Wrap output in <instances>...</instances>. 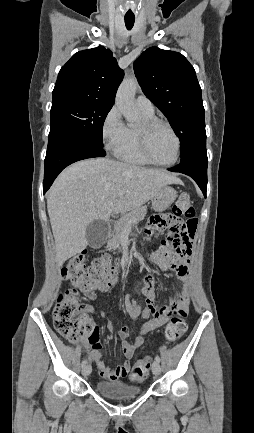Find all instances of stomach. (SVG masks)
<instances>
[{
  "label": "stomach",
  "mask_w": 254,
  "mask_h": 433,
  "mask_svg": "<svg viewBox=\"0 0 254 433\" xmlns=\"http://www.w3.org/2000/svg\"><path fill=\"white\" fill-rule=\"evenodd\" d=\"M177 192L170 186H163L152 198V207L156 212L165 211L176 199Z\"/></svg>",
  "instance_id": "0dacf381"
}]
</instances>
